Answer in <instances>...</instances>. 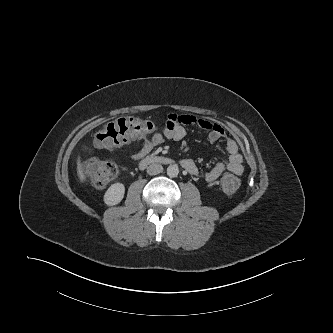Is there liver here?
<instances>
[{
	"label": "liver",
	"mask_w": 333,
	"mask_h": 333,
	"mask_svg": "<svg viewBox=\"0 0 333 333\" xmlns=\"http://www.w3.org/2000/svg\"><path fill=\"white\" fill-rule=\"evenodd\" d=\"M77 174H78V178H79L80 182L84 183L85 182V175L83 173L80 156H78V159H77Z\"/></svg>",
	"instance_id": "1"
}]
</instances>
